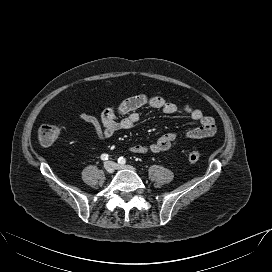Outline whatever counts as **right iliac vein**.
Returning a JSON list of instances; mask_svg holds the SVG:
<instances>
[{
    "instance_id": "right-iliac-vein-1",
    "label": "right iliac vein",
    "mask_w": 272,
    "mask_h": 272,
    "mask_svg": "<svg viewBox=\"0 0 272 272\" xmlns=\"http://www.w3.org/2000/svg\"><path fill=\"white\" fill-rule=\"evenodd\" d=\"M104 168H105L106 172L109 173V174H111V173L114 172L113 166L110 163H108V162H106L104 164Z\"/></svg>"
}]
</instances>
